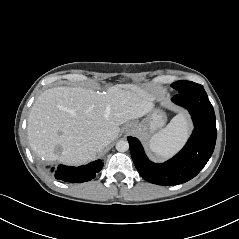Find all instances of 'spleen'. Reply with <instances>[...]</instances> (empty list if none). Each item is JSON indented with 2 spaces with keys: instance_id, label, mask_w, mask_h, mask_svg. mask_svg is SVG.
I'll return each mask as SVG.
<instances>
[{
  "instance_id": "obj_1",
  "label": "spleen",
  "mask_w": 239,
  "mask_h": 239,
  "mask_svg": "<svg viewBox=\"0 0 239 239\" xmlns=\"http://www.w3.org/2000/svg\"><path fill=\"white\" fill-rule=\"evenodd\" d=\"M189 133L190 122L187 115L181 112L150 139L149 149L157 156L169 158L183 146Z\"/></svg>"
}]
</instances>
